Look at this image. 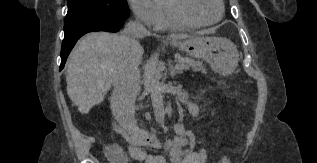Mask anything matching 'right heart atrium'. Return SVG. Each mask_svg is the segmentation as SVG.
Here are the masks:
<instances>
[{
    "mask_svg": "<svg viewBox=\"0 0 317 163\" xmlns=\"http://www.w3.org/2000/svg\"><path fill=\"white\" fill-rule=\"evenodd\" d=\"M127 3L141 23L155 26L160 13L158 0H127Z\"/></svg>",
    "mask_w": 317,
    "mask_h": 163,
    "instance_id": "d8ad5b80",
    "label": "right heart atrium"
}]
</instances>
